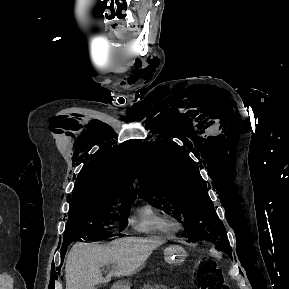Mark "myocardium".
Instances as JSON below:
<instances>
[{"label":"myocardium","instance_id":"obj_1","mask_svg":"<svg viewBox=\"0 0 289 289\" xmlns=\"http://www.w3.org/2000/svg\"><path fill=\"white\" fill-rule=\"evenodd\" d=\"M176 225L179 229L181 228V224L178 221H176Z\"/></svg>","mask_w":289,"mask_h":289}]
</instances>
